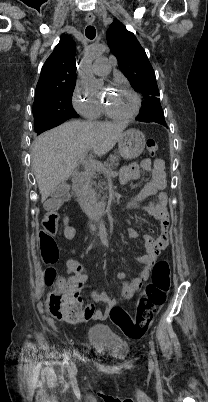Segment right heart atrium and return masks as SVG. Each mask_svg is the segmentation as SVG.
Wrapping results in <instances>:
<instances>
[{
  "mask_svg": "<svg viewBox=\"0 0 208 402\" xmlns=\"http://www.w3.org/2000/svg\"><path fill=\"white\" fill-rule=\"evenodd\" d=\"M74 107L87 119L96 120L101 110L99 98L86 89L80 82H76L71 93Z\"/></svg>",
  "mask_w": 208,
  "mask_h": 402,
  "instance_id": "obj_1",
  "label": "right heart atrium"
}]
</instances>
